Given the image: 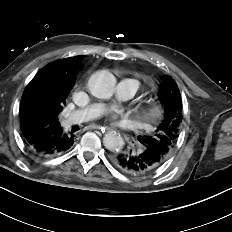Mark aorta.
Segmentation results:
<instances>
[{
    "label": "aorta",
    "mask_w": 232,
    "mask_h": 232,
    "mask_svg": "<svg viewBox=\"0 0 232 232\" xmlns=\"http://www.w3.org/2000/svg\"><path fill=\"white\" fill-rule=\"evenodd\" d=\"M88 87L93 96L108 99L113 95L115 77L108 71H100L91 76ZM103 144L110 151H118L124 145L123 138L114 131L108 132L103 138Z\"/></svg>",
    "instance_id": "762f6f07"
}]
</instances>
